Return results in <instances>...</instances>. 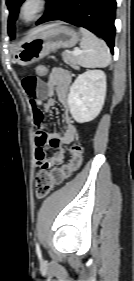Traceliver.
<instances>
[{"label": "liver", "mask_w": 134, "mask_h": 281, "mask_svg": "<svg viewBox=\"0 0 134 281\" xmlns=\"http://www.w3.org/2000/svg\"><path fill=\"white\" fill-rule=\"evenodd\" d=\"M49 27H51V25H46V26L37 28V29H35V30H33V31L31 32V34L29 35V37H31V36H33V35H35V34L41 32V31H43V30H45V29H47V28H49Z\"/></svg>", "instance_id": "liver-1"}]
</instances>
